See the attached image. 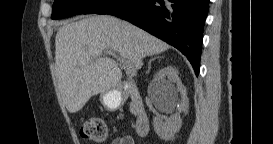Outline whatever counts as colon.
Returning <instances> with one entry per match:
<instances>
[{
  "mask_svg": "<svg viewBox=\"0 0 273 144\" xmlns=\"http://www.w3.org/2000/svg\"><path fill=\"white\" fill-rule=\"evenodd\" d=\"M80 135L83 139L93 142H104L107 136V127L103 119L91 117L86 119L80 128Z\"/></svg>",
  "mask_w": 273,
  "mask_h": 144,
  "instance_id": "1",
  "label": "colon"
}]
</instances>
